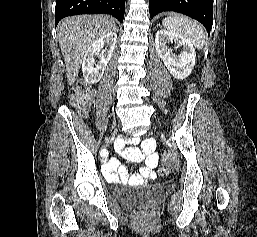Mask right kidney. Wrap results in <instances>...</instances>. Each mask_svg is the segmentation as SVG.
<instances>
[{
  "instance_id": "1",
  "label": "right kidney",
  "mask_w": 257,
  "mask_h": 237,
  "mask_svg": "<svg viewBox=\"0 0 257 237\" xmlns=\"http://www.w3.org/2000/svg\"><path fill=\"white\" fill-rule=\"evenodd\" d=\"M116 40L117 34L109 32L88 47L82 63L83 76L88 84H96L102 78L106 65L112 57ZM96 55L100 58L97 64L94 58Z\"/></svg>"
}]
</instances>
